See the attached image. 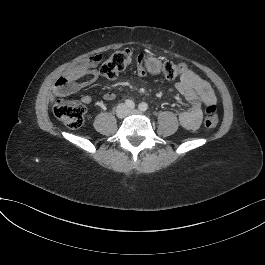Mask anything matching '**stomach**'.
Returning <instances> with one entry per match:
<instances>
[{"label":"stomach","mask_w":265,"mask_h":265,"mask_svg":"<svg viewBox=\"0 0 265 265\" xmlns=\"http://www.w3.org/2000/svg\"><path fill=\"white\" fill-rule=\"evenodd\" d=\"M146 66L151 73L157 74L160 72V61L157 58H148Z\"/></svg>","instance_id":"0dacf381"}]
</instances>
